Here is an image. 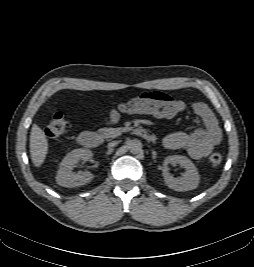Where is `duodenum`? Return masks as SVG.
Segmentation results:
<instances>
[{"label": "duodenum", "instance_id": "obj_1", "mask_svg": "<svg viewBox=\"0 0 254 267\" xmlns=\"http://www.w3.org/2000/svg\"><path fill=\"white\" fill-rule=\"evenodd\" d=\"M133 133L147 141H154L155 136L150 131L143 128H136ZM103 135L92 131H83L78 135V142L81 146L86 148H96L103 142Z\"/></svg>", "mask_w": 254, "mask_h": 267}]
</instances>
